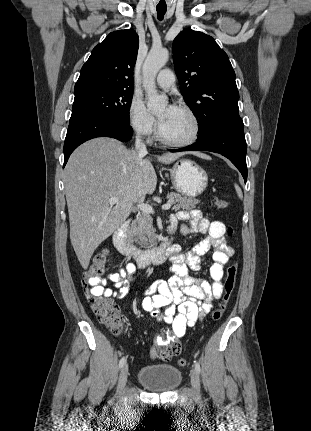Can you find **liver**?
<instances>
[{
  "label": "liver",
  "mask_w": 311,
  "mask_h": 431,
  "mask_svg": "<svg viewBox=\"0 0 311 431\" xmlns=\"http://www.w3.org/2000/svg\"><path fill=\"white\" fill-rule=\"evenodd\" d=\"M195 154V152H191ZM182 154L157 156L161 164H173ZM156 172L151 158L127 150L113 138H94L79 146L64 170L70 239L84 269L98 245L126 221L136 204L154 194ZM110 198H119L109 204Z\"/></svg>",
  "instance_id": "6515ba94"
}]
</instances>
